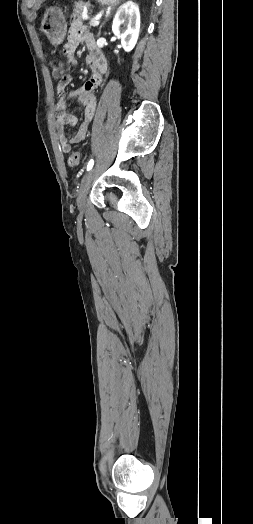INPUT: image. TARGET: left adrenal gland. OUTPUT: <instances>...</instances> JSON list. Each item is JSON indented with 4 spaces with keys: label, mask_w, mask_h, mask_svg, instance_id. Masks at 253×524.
<instances>
[{
    "label": "left adrenal gland",
    "mask_w": 253,
    "mask_h": 524,
    "mask_svg": "<svg viewBox=\"0 0 253 524\" xmlns=\"http://www.w3.org/2000/svg\"><path fill=\"white\" fill-rule=\"evenodd\" d=\"M104 24H105V22L102 23V24L100 25V27H99V32H98V36L100 35V33H101V28L103 27Z\"/></svg>",
    "instance_id": "1"
}]
</instances>
